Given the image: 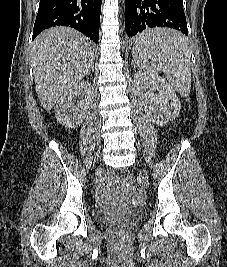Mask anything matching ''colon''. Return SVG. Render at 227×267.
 Listing matches in <instances>:
<instances>
[{
  "instance_id": "obj_1",
  "label": "colon",
  "mask_w": 227,
  "mask_h": 267,
  "mask_svg": "<svg viewBox=\"0 0 227 267\" xmlns=\"http://www.w3.org/2000/svg\"><path fill=\"white\" fill-rule=\"evenodd\" d=\"M108 180L119 192L134 193L138 190V184L136 180L130 175H124L120 178H114L112 175H110Z\"/></svg>"
}]
</instances>
